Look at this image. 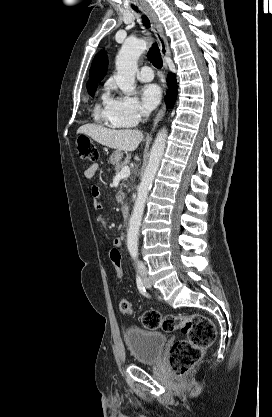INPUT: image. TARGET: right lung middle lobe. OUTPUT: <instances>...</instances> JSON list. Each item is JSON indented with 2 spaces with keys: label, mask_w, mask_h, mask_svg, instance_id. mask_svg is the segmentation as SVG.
Wrapping results in <instances>:
<instances>
[{
  "label": "right lung middle lobe",
  "mask_w": 272,
  "mask_h": 417,
  "mask_svg": "<svg viewBox=\"0 0 272 417\" xmlns=\"http://www.w3.org/2000/svg\"><path fill=\"white\" fill-rule=\"evenodd\" d=\"M87 91H88L89 95L93 96L94 95V92H95V89H93V90H87Z\"/></svg>",
  "instance_id": "1"
}]
</instances>
